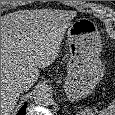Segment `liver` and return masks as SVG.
I'll return each mask as SVG.
<instances>
[{
	"label": "liver",
	"mask_w": 115,
	"mask_h": 115,
	"mask_svg": "<svg viewBox=\"0 0 115 115\" xmlns=\"http://www.w3.org/2000/svg\"><path fill=\"white\" fill-rule=\"evenodd\" d=\"M62 17L25 11L1 17V115L15 108L21 93L14 88L16 82L23 81V90H28L37 81L39 69L58 57L69 25Z\"/></svg>",
	"instance_id": "1"
}]
</instances>
